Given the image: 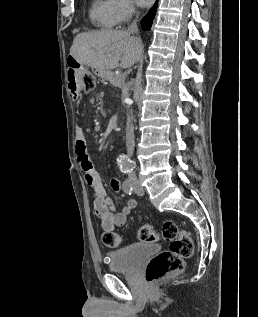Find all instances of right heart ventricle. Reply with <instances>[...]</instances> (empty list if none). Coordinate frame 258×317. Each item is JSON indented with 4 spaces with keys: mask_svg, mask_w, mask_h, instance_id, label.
I'll list each match as a JSON object with an SVG mask.
<instances>
[{
    "mask_svg": "<svg viewBox=\"0 0 258 317\" xmlns=\"http://www.w3.org/2000/svg\"><path fill=\"white\" fill-rule=\"evenodd\" d=\"M114 0H95L92 2L89 17L91 22L100 29H109L114 26Z\"/></svg>",
    "mask_w": 258,
    "mask_h": 317,
    "instance_id": "right-heart-ventricle-1",
    "label": "right heart ventricle"
}]
</instances>
